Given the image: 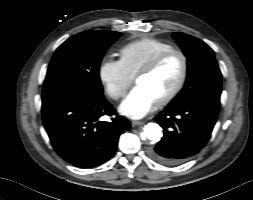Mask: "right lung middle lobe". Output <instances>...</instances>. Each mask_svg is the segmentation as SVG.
I'll list each match as a JSON object with an SVG mask.
<instances>
[{
    "label": "right lung middle lobe",
    "instance_id": "dd1d6c3e",
    "mask_svg": "<svg viewBox=\"0 0 253 200\" xmlns=\"http://www.w3.org/2000/svg\"><path fill=\"white\" fill-rule=\"evenodd\" d=\"M121 34L107 30L85 31L66 40L52 57L42 95L103 98L100 62L105 51Z\"/></svg>",
    "mask_w": 253,
    "mask_h": 200
}]
</instances>
